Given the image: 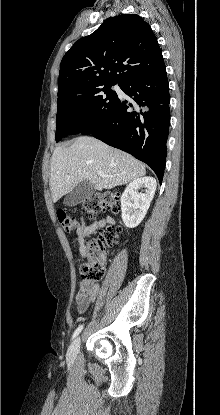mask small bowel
<instances>
[{"label":"small bowel","mask_w":220,"mask_h":415,"mask_svg":"<svg viewBox=\"0 0 220 415\" xmlns=\"http://www.w3.org/2000/svg\"><path fill=\"white\" fill-rule=\"evenodd\" d=\"M114 225V220L111 217L102 218L86 225L83 220H80L76 231L75 243L78 246L82 256L86 255L84 242L85 239L96 234L104 232V229L110 228ZM99 294V288L96 284L80 281L75 295V303L80 314L85 313L89 306L96 300Z\"/></svg>","instance_id":"obj_1"}]
</instances>
